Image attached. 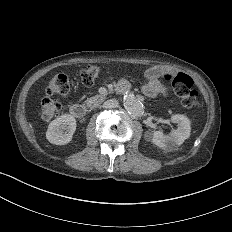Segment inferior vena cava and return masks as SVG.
<instances>
[{
  "label": "inferior vena cava",
  "instance_id": "obj_1",
  "mask_svg": "<svg viewBox=\"0 0 232 232\" xmlns=\"http://www.w3.org/2000/svg\"><path fill=\"white\" fill-rule=\"evenodd\" d=\"M118 106V101L116 99H109L103 103L104 108H115Z\"/></svg>",
  "mask_w": 232,
  "mask_h": 232
}]
</instances>
